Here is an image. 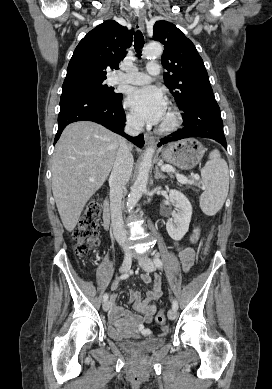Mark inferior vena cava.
I'll list each match as a JSON object with an SVG mask.
<instances>
[{
    "label": "inferior vena cava",
    "instance_id": "1",
    "mask_svg": "<svg viewBox=\"0 0 272 389\" xmlns=\"http://www.w3.org/2000/svg\"><path fill=\"white\" fill-rule=\"evenodd\" d=\"M143 125L144 123L141 120L128 116L126 119L125 132L129 135L136 136L141 132ZM133 163V156L127 140L120 138V145L109 178L110 211L114 237L122 246L125 253H129L131 249L127 244V235L122 219L121 202L123 190L132 173Z\"/></svg>",
    "mask_w": 272,
    "mask_h": 389
}]
</instances>
